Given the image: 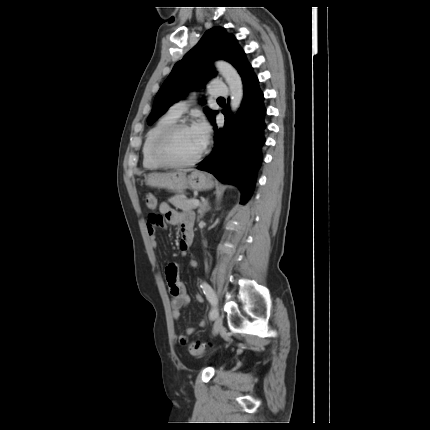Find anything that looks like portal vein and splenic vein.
<instances>
[{"label": "portal vein and splenic vein", "instance_id": "obj_1", "mask_svg": "<svg viewBox=\"0 0 430 430\" xmlns=\"http://www.w3.org/2000/svg\"><path fill=\"white\" fill-rule=\"evenodd\" d=\"M192 203H193L195 206H200V202H199V200H198V199H193V200H192Z\"/></svg>", "mask_w": 430, "mask_h": 430}]
</instances>
